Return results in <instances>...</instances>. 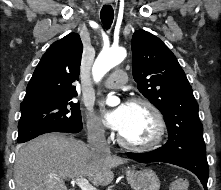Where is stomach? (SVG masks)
Here are the masks:
<instances>
[{"instance_id":"obj_1","label":"stomach","mask_w":221,"mask_h":190,"mask_svg":"<svg viewBox=\"0 0 221 190\" xmlns=\"http://www.w3.org/2000/svg\"><path fill=\"white\" fill-rule=\"evenodd\" d=\"M126 176L134 190H159L160 188L159 178L151 169L128 170Z\"/></svg>"}]
</instances>
